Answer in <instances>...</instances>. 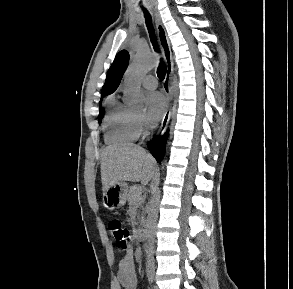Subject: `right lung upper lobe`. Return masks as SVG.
<instances>
[{"instance_id": "1", "label": "right lung upper lobe", "mask_w": 293, "mask_h": 289, "mask_svg": "<svg viewBox=\"0 0 293 289\" xmlns=\"http://www.w3.org/2000/svg\"><path fill=\"white\" fill-rule=\"evenodd\" d=\"M129 54L123 50L117 54L107 72L105 84L102 88V97L113 93L120 84L124 71L128 66Z\"/></svg>"}]
</instances>
